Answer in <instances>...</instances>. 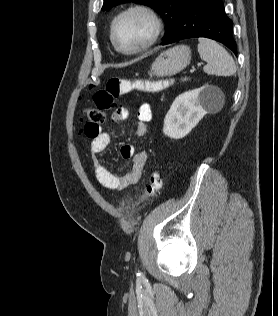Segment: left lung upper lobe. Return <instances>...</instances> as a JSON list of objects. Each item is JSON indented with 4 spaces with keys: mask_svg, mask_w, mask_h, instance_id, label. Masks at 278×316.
Masks as SVG:
<instances>
[{
    "mask_svg": "<svg viewBox=\"0 0 278 316\" xmlns=\"http://www.w3.org/2000/svg\"><path fill=\"white\" fill-rule=\"evenodd\" d=\"M125 2L143 3L156 10L166 23L164 41L173 32L187 0H104L102 10L108 11L112 6Z\"/></svg>",
    "mask_w": 278,
    "mask_h": 316,
    "instance_id": "left-lung-upper-lobe-1",
    "label": "left lung upper lobe"
}]
</instances>
